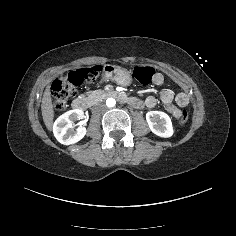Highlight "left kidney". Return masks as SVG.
<instances>
[{"instance_id": "5707ae66", "label": "left kidney", "mask_w": 236, "mask_h": 236, "mask_svg": "<svg viewBox=\"0 0 236 236\" xmlns=\"http://www.w3.org/2000/svg\"><path fill=\"white\" fill-rule=\"evenodd\" d=\"M146 121L150 131L162 138L172 137L174 134L170 117L161 111H149L146 113Z\"/></svg>"}]
</instances>
